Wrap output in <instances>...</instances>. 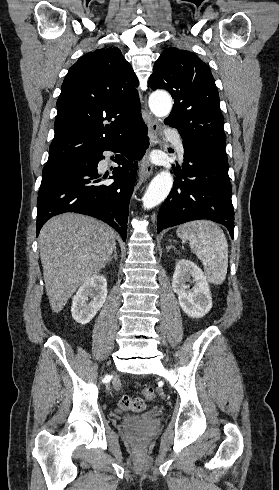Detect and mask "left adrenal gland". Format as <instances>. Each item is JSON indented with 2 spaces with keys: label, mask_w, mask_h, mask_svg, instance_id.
<instances>
[{
  "label": "left adrenal gland",
  "mask_w": 279,
  "mask_h": 490,
  "mask_svg": "<svg viewBox=\"0 0 279 490\" xmlns=\"http://www.w3.org/2000/svg\"><path fill=\"white\" fill-rule=\"evenodd\" d=\"M171 248H174V250H176L175 246H172V244H170V246H166L167 252H169V250H171Z\"/></svg>",
  "instance_id": "left-adrenal-gland-1"
}]
</instances>
